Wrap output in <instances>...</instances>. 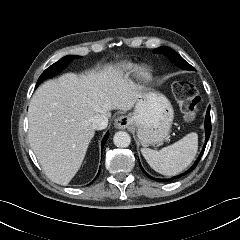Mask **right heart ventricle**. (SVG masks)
<instances>
[{"label":"right heart ventricle","instance_id":"1","mask_svg":"<svg viewBox=\"0 0 240 240\" xmlns=\"http://www.w3.org/2000/svg\"><path fill=\"white\" fill-rule=\"evenodd\" d=\"M135 69V66L131 63H123L117 67V73L119 75H126L132 72Z\"/></svg>","mask_w":240,"mask_h":240}]
</instances>
